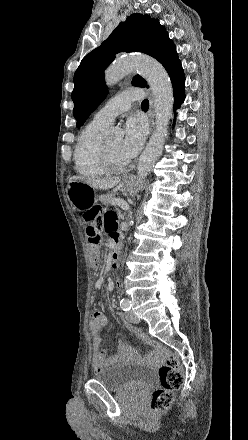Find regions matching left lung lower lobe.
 <instances>
[{
	"label": "left lung lower lobe",
	"instance_id": "obj_1",
	"mask_svg": "<svg viewBox=\"0 0 248 440\" xmlns=\"http://www.w3.org/2000/svg\"><path fill=\"white\" fill-rule=\"evenodd\" d=\"M174 93V110L178 109L185 98V77L183 74L171 78Z\"/></svg>",
	"mask_w": 248,
	"mask_h": 440
}]
</instances>
